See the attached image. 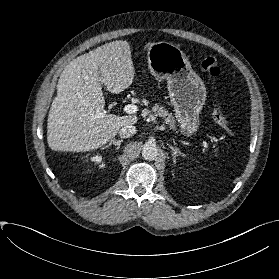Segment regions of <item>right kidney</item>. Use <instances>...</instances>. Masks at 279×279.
<instances>
[{
    "label": "right kidney",
    "instance_id": "right-kidney-1",
    "mask_svg": "<svg viewBox=\"0 0 279 279\" xmlns=\"http://www.w3.org/2000/svg\"><path fill=\"white\" fill-rule=\"evenodd\" d=\"M90 160L96 164L99 165L100 168H103L105 166L104 162H103V157L100 153H96L95 155H93Z\"/></svg>",
    "mask_w": 279,
    "mask_h": 279
}]
</instances>
